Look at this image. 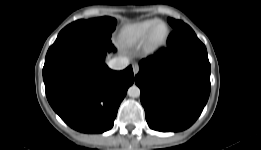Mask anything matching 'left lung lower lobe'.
I'll return each instance as SVG.
<instances>
[{"label":"left lung lower lobe","mask_w":261,"mask_h":150,"mask_svg":"<svg viewBox=\"0 0 261 150\" xmlns=\"http://www.w3.org/2000/svg\"><path fill=\"white\" fill-rule=\"evenodd\" d=\"M211 66L204 44L184 24L175 28L167 47L142 59L135 83L151 129L177 132L200 116L210 94Z\"/></svg>","instance_id":"1"}]
</instances>
